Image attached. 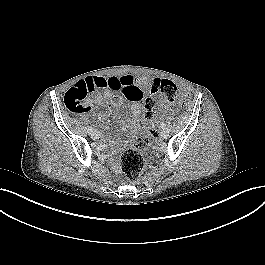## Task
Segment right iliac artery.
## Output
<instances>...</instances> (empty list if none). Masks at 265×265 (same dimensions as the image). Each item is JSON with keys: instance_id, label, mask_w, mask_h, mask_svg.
Here are the masks:
<instances>
[{"instance_id": "1", "label": "right iliac artery", "mask_w": 265, "mask_h": 265, "mask_svg": "<svg viewBox=\"0 0 265 265\" xmlns=\"http://www.w3.org/2000/svg\"><path fill=\"white\" fill-rule=\"evenodd\" d=\"M87 132L91 134L93 132V128L91 126L88 127Z\"/></svg>"}]
</instances>
